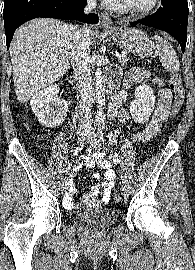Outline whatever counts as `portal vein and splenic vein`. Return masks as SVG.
<instances>
[{
    "label": "portal vein and splenic vein",
    "instance_id": "1",
    "mask_svg": "<svg viewBox=\"0 0 195 270\" xmlns=\"http://www.w3.org/2000/svg\"><path fill=\"white\" fill-rule=\"evenodd\" d=\"M115 56L116 57H119L120 56V53L119 52H115Z\"/></svg>",
    "mask_w": 195,
    "mask_h": 270
}]
</instances>
